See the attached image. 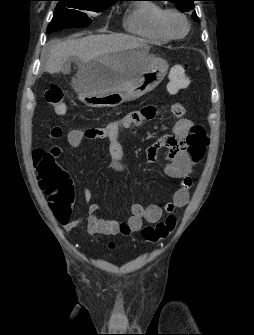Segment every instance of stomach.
<instances>
[{
    "mask_svg": "<svg viewBox=\"0 0 254 335\" xmlns=\"http://www.w3.org/2000/svg\"><path fill=\"white\" fill-rule=\"evenodd\" d=\"M143 66L146 68L129 79L121 89L104 90L110 74L136 71ZM168 67L165 60L150 55L149 47L145 45L113 53L106 60L95 59L88 65V75L75 81L78 98L93 108L119 106L152 91L163 80Z\"/></svg>",
    "mask_w": 254,
    "mask_h": 335,
    "instance_id": "0dacf381",
    "label": "stomach"
}]
</instances>
